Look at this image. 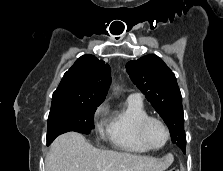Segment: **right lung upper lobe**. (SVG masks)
Instances as JSON below:
<instances>
[{"label":"right lung upper lobe","instance_id":"right-lung-upper-lobe-1","mask_svg":"<svg viewBox=\"0 0 223 171\" xmlns=\"http://www.w3.org/2000/svg\"><path fill=\"white\" fill-rule=\"evenodd\" d=\"M111 69L93 55H83L64 74L52 101L80 100L102 103L111 83Z\"/></svg>","mask_w":223,"mask_h":171}]
</instances>
